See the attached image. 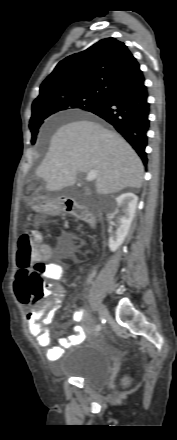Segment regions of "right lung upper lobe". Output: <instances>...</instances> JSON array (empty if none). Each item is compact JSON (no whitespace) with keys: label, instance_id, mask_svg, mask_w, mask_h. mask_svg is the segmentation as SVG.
<instances>
[{"label":"right lung upper lobe","instance_id":"1","mask_svg":"<svg viewBox=\"0 0 177 440\" xmlns=\"http://www.w3.org/2000/svg\"><path fill=\"white\" fill-rule=\"evenodd\" d=\"M138 71L139 63L123 42L102 39L60 61L41 84L32 107L70 93L104 95Z\"/></svg>","mask_w":177,"mask_h":440}]
</instances>
